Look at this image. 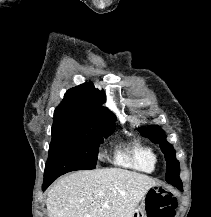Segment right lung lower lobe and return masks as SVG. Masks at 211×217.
Segmentation results:
<instances>
[{
  "mask_svg": "<svg viewBox=\"0 0 211 217\" xmlns=\"http://www.w3.org/2000/svg\"><path fill=\"white\" fill-rule=\"evenodd\" d=\"M59 176H55L52 178H48V179H44L43 185H42V190L45 191L47 189V187L55 180L57 179Z\"/></svg>",
  "mask_w": 211,
  "mask_h": 217,
  "instance_id": "98d812e1",
  "label": "right lung lower lobe"
}]
</instances>
